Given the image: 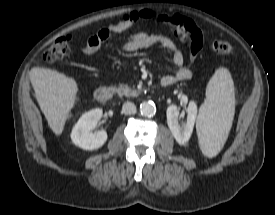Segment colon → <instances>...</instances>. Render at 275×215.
<instances>
[{
  "instance_id": "obj_1",
  "label": "colon",
  "mask_w": 275,
  "mask_h": 215,
  "mask_svg": "<svg viewBox=\"0 0 275 215\" xmlns=\"http://www.w3.org/2000/svg\"><path fill=\"white\" fill-rule=\"evenodd\" d=\"M154 18L151 12L132 13L124 17V22L138 24ZM172 34L180 40L193 38L197 32V26L189 19L174 15L164 18ZM72 36H64L54 41L44 52L43 58L46 62H55L63 59L68 53ZM211 49L222 55H230L234 52L233 47L226 41L215 40L211 43Z\"/></svg>"
}]
</instances>
